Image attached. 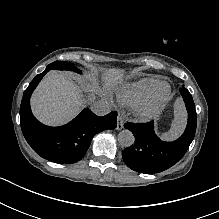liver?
I'll use <instances>...</instances> for the list:
<instances>
[{"label":"liver","mask_w":219,"mask_h":219,"mask_svg":"<svg viewBox=\"0 0 219 219\" xmlns=\"http://www.w3.org/2000/svg\"><path fill=\"white\" fill-rule=\"evenodd\" d=\"M124 70L108 69L104 76L105 87L113 86L122 79ZM86 91L95 92L96 87L87 85ZM83 90L65 74L52 72L43 78L31 98L35 117L51 126L66 124L79 114L83 106Z\"/></svg>","instance_id":"6515ba94"}]
</instances>
